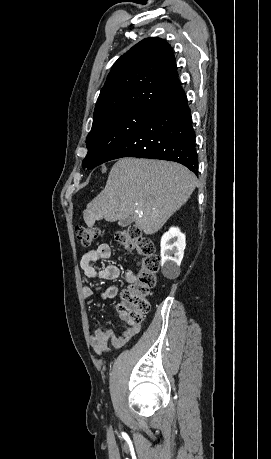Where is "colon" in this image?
I'll use <instances>...</instances> for the list:
<instances>
[{
    "label": "colon",
    "mask_w": 271,
    "mask_h": 459,
    "mask_svg": "<svg viewBox=\"0 0 271 459\" xmlns=\"http://www.w3.org/2000/svg\"><path fill=\"white\" fill-rule=\"evenodd\" d=\"M98 229L77 226L75 236L83 247H89L98 237ZM116 244L127 252H137L141 256V268L136 281L122 290L120 315L129 325H138L150 310L149 293L155 286L156 275L160 268V258L156 254L153 242L144 236L137 226H128L115 235Z\"/></svg>",
    "instance_id": "colon-1"
}]
</instances>
